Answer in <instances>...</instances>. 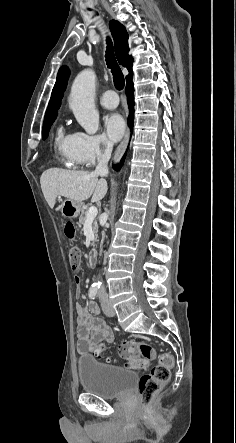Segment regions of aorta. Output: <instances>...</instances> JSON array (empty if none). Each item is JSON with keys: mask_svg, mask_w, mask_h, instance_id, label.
Returning <instances> with one entry per match:
<instances>
[{"mask_svg": "<svg viewBox=\"0 0 236 443\" xmlns=\"http://www.w3.org/2000/svg\"><path fill=\"white\" fill-rule=\"evenodd\" d=\"M96 74L85 69L75 78L69 98L77 122L88 134H95L99 128V114L94 104Z\"/></svg>", "mask_w": 236, "mask_h": 443, "instance_id": "obj_1", "label": "aorta"}]
</instances>
